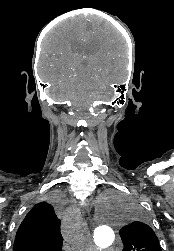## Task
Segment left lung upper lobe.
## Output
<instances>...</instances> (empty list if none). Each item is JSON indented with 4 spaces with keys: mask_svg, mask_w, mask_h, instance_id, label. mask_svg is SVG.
<instances>
[{
    "mask_svg": "<svg viewBox=\"0 0 174 251\" xmlns=\"http://www.w3.org/2000/svg\"><path fill=\"white\" fill-rule=\"evenodd\" d=\"M120 236L123 251H162L154 231L136 210L133 222L120 230Z\"/></svg>",
    "mask_w": 174,
    "mask_h": 251,
    "instance_id": "left-lung-upper-lobe-1",
    "label": "left lung upper lobe"
}]
</instances>
